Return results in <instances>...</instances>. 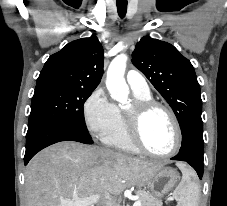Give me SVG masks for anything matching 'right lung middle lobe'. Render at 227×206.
<instances>
[{
  "mask_svg": "<svg viewBox=\"0 0 227 206\" xmlns=\"http://www.w3.org/2000/svg\"><path fill=\"white\" fill-rule=\"evenodd\" d=\"M93 90L54 83L37 84L31 103L28 130L47 122H55L86 132L82 122L83 104Z\"/></svg>",
  "mask_w": 227,
  "mask_h": 206,
  "instance_id": "obj_1",
  "label": "right lung middle lobe"
}]
</instances>
